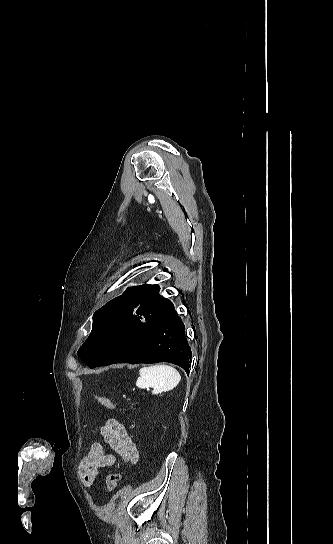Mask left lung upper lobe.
Listing matches in <instances>:
<instances>
[{"instance_id": "1", "label": "left lung upper lobe", "mask_w": 333, "mask_h": 544, "mask_svg": "<svg viewBox=\"0 0 333 544\" xmlns=\"http://www.w3.org/2000/svg\"><path fill=\"white\" fill-rule=\"evenodd\" d=\"M157 285L144 284L128 288L121 296L106 303L93 316V329L78 351V356L90 367H96L103 359L101 348L97 345L96 334L102 323L109 319L122 318L134 324H151L174 306L172 302L159 296Z\"/></svg>"}]
</instances>
